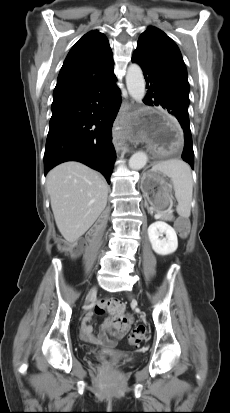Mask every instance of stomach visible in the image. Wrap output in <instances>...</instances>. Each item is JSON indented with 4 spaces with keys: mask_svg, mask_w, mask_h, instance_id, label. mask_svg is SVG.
Segmentation results:
<instances>
[{
    "mask_svg": "<svg viewBox=\"0 0 230 413\" xmlns=\"http://www.w3.org/2000/svg\"><path fill=\"white\" fill-rule=\"evenodd\" d=\"M141 190L151 208L158 212H164L172 202V187L159 172H146L141 180Z\"/></svg>",
    "mask_w": 230,
    "mask_h": 413,
    "instance_id": "1",
    "label": "stomach"
}]
</instances>
